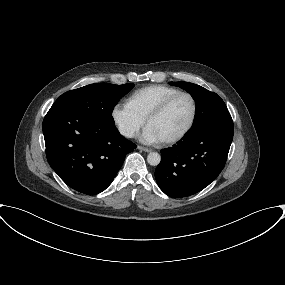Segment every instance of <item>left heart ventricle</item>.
Masks as SVG:
<instances>
[{
	"label": "left heart ventricle",
	"instance_id": "left-heart-ventricle-1",
	"mask_svg": "<svg viewBox=\"0 0 285 285\" xmlns=\"http://www.w3.org/2000/svg\"><path fill=\"white\" fill-rule=\"evenodd\" d=\"M192 115V104L188 97L177 98L159 117L148 124L161 138L168 140L184 130Z\"/></svg>",
	"mask_w": 285,
	"mask_h": 285
}]
</instances>
